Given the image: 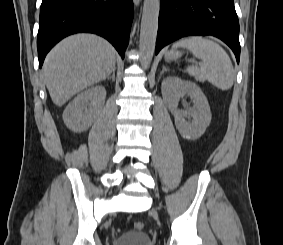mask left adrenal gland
<instances>
[{"label": "left adrenal gland", "instance_id": "1", "mask_svg": "<svg viewBox=\"0 0 283 245\" xmlns=\"http://www.w3.org/2000/svg\"><path fill=\"white\" fill-rule=\"evenodd\" d=\"M165 71H169V69H168V68H166L165 66H163V69H162V71H161L160 75H162Z\"/></svg>", "mask_w": 283, "mask_h": 245}]
</instances>
